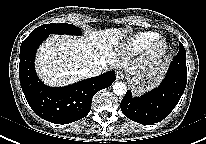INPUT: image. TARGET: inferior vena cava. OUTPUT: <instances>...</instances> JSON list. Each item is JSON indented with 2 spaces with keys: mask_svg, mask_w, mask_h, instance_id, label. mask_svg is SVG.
Returning <instances> with one entry per match:
<instances>
[{
  "mask_svg": "<svg viewBox=\"0 0 206 144\" xmlns=\"http://www.w3.org/2000/svg\"><path fill=\"white\" fill-rule=\"evenodd\" d=\"M83 73L88 77H96L103 73V66L93 65L89 68H84Z\"/></svg>",
  "mask_w": 206,
  "mask_h": 144,
  "instance_id": "602c4592",
  "label": "inferior vena cava"
}]
</instances>
